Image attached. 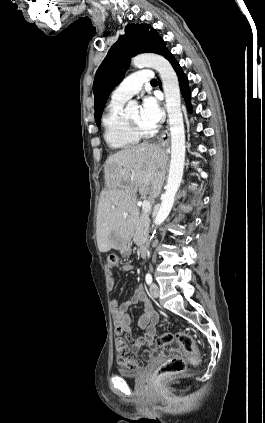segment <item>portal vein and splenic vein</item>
Wrapping results in <instances>:
<instances>
[{
  "label": "portal vein and splenic vein",
  "instance_id": "obj_1",
  "mask_svg": "<svg viewBox=\"0 0 265 423\" xmlns=\"http://www.w3.org/2000/svg\"><path fill=\"white\" fill-rule=\"evenodd\" d=\"M151 203H150V201H148V200H144L143 202H142V210L144 211V212H149V211H151Z\"/></svg>",
  "mask_w": 265,
  "mask_h": 423
}]
</instances>
